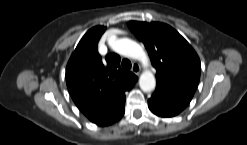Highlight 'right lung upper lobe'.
I'll use <instances>...</instances> for the list:
<instances>
[{
	"mask_svg": "<svg viewBox=\"0 0 247 145\" xmlns=\"http://www.w3.org/2000/svg\"><path fill=\"white\" fill-rule=\"evenodd\" d=\"M106 30L90 29L80 40L66 67V83L79 110L90 121L107 126L118 121L125 112V91L138 78L120 68V57L108 54L102 61L97 44Z\"/></svg>",
	"mask_w": 247,
	"mask_h": 145,
	"instance_id": "1",
	"label": "right lung upper lobe"
}]
</instances>
